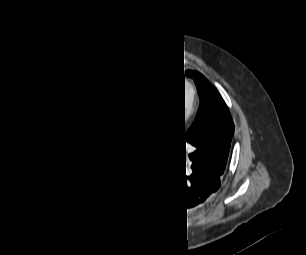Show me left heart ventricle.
Segmentation results:
<instances>
[{
    "label": "left heart ventricle",
    "instance_id": "obj_1",
    "mask_svg": "<svg viewBox=\"0 0 306 255\" xmlns=\"http://www.w3.org/2000/svg\"><path fill=\"white\" fill-rule=\"evenodd\" d=\"M188 102V92L187 90H184V103H183V110L185 109Z\"/></svg>",
    "mask_w": 306,
    "mask_h": 255
}]
</instances>
